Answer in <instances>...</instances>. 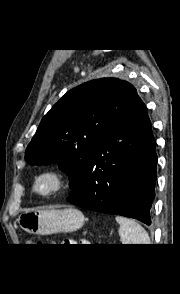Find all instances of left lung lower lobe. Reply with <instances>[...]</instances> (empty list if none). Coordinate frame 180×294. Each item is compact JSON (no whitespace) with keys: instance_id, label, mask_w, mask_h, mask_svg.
Instances as JSON below:
<instances>
[{"instance_id":"0a47b994","label":"left lung lower lobe","mask_w":180,"mask_h":294,"mask_svg":"<svg viewBox=\"0 0 180 294\" xmlns=\"http://www.w3.org/2000/svg\"><path fill=\"white\" fill-rule=\"evenodd\" d=\"M157 155L147 108L136 97L100 143L87 168L80 191L67 201L108 214L151 224Z\"/></svg>"}]
</instances>
